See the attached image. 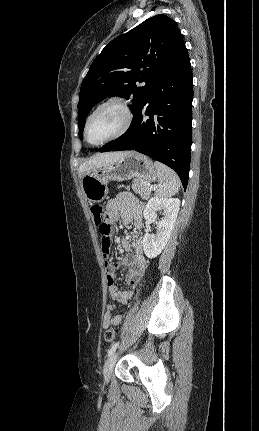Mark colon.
Masks as SVG:
<instances>
[{
    "instance_id": "obj_1",
    "label": "colon",
    "mask_w": 259,
    "mask_h": 431,
    "mask_svg": "<svg viewBox=\"0 0 259 431\" xmlns=\"http://www.w3.org/2000/svg\"><path fill=\"white\" fill-rule=\"evenodd\" d=\"M91 214L95 225L98 228L100 235V241L102 246V251L105 257L110 255L111 250V225L104 220L103 209L100 205L95 204L91 206ZM115 338V331L112 327H109L104 332V339L106 342L111 343Z\"/></svg>"
}]
</instances>
